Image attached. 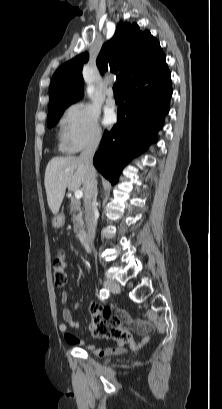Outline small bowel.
<instances>
[{
	"label": "small bowel",
	"mask_w": 222,
	"mask_h": 409,
	"mask_svg": "<svg viewBox=\"0 0 222 409\" xmlns=\"http://www.w3.org/2000/svg\"><path fill=\"white\" fill-rule=\"evenodd\" d=\"M68 303L69 294L67 292H63L61 294V304L63 306V322L58 325V328L63 334L65 341L69 345H79L82 343V340L69 332V329H78L79 322L74 318L72 309L68 306ZM74 308H79V304H75ZM112 309L114 311L112 318L116 319L119 322L120 328L128 334V337L124 342H118V345L115 347L96 348L90 346L89 350L96 356L123 354L126 352L125 344H128L132 349H139L149 341V336L147 334L151 331L152 328V325L149 322L142 320H133L125 311L115 308ZM132 332L145 336L139 341H134L131 336Z\"/></svg>",
	"instance_id": "c3829d8e"
}]
</instances>
